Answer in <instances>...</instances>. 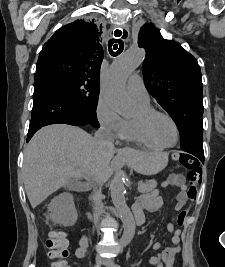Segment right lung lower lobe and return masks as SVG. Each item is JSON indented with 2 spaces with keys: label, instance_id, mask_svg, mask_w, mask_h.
<instances>
[{
  "label": "right lung lower lobe",
  "instance_id": "1",
  "mask_svg": "<svg viewBox=\"0 0 225 267\" xmlns=\"http://www.w3.org/2000/svg\"><path fill=\"white\" fill-rule=\"evenodd\" d=\"M57 123L73 126L92 125L87 115L59 83L48 75L36 74L27 141L41 127Z\"/></svg>",
  "mask_w": 225,
  "mask_h": 267
}]
</instances>
